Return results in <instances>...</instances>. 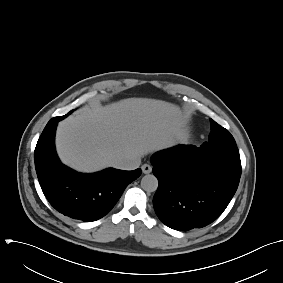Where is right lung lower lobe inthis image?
Here are the masks:
<instances>
[{"mask_svg": "<svg viewBox=\"0 0 283 283\" xmlns=\"http://www.w3.org/2000/svg\"><path fill=\"white\" fill-rule=\"evenodd\" d=\"M59 117L52 118L42 132L34 153L35 168L44 195L60 213L91 222L105 216L141 169L109 168L94 174L78 173L63 165L54 145Z\"/></svg>", "mask_w": 283, "mask_h": 283, "instance_id": "98d812e1", "label": "right lung lower lobe"}]
</instances>
